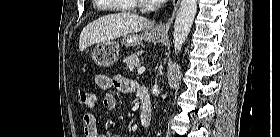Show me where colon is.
I'll return each instance as SVG.
<instances>
[{
  "mask_svg": "<svg viewBox=\"0 0 280 137\" xmlns=\"http://www.w3.org/2000/svg\"><path fill=\"white\" fill-rule=\"evenodd\" d=\"M80 102L87 109H94L97 105V98L92 93L82 92L80 95Z\"/></svg>",
  "mask_w": 280,
  "mask_h": 137,
  "instance_id": "5ec220e1",
  "label": "colon"
}]
</instances>
